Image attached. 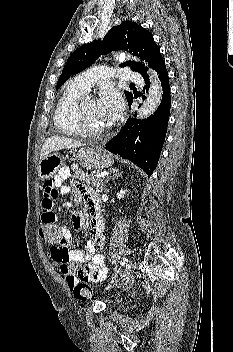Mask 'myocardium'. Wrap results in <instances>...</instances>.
Instances as JSON below:
<instances>
[{
  "instance_id": "f54148a6",
  "label": "myocardium",
  "mask_w": 233,
  "mask_h": 352,
  "mask_svg": "<svg viewBox=\"0 0 233 352\" xmlns=\"http://www.w3.org/2000/svg\"><path fill=\"white\" fill-rule=\"evenodd\" d=\"M87 99H91L90 97H83L80 99V101L77 104L76 108V123L77 126L82 134L89 135V136H94V135H101L106 132V128L104 129H98V128H93L90 127L85 119V114H84V103Z\"/></svg>"
}]
</instances>
